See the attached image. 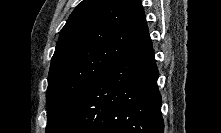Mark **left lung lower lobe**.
Here are the masks:
<instances>
[{"instance_id": "0a47b994", "label": "left lung lower lobe", "mask_w": 221, "mask_h": 133, "mask_svg": "<svg viewBox=\"0 0 221 133\" xmlns=\"http://www.w3.org/2000/svg\"><path fill=\"white\" fill-rule=\"evenodd\" d=\"M152 42H140L89 85L56 133H163Z\"/></svg>"}]
</instances>
